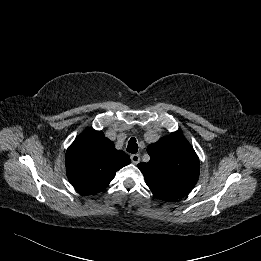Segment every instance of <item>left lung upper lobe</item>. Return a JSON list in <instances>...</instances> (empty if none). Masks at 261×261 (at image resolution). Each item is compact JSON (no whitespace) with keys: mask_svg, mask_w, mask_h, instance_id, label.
I'll list each match as a JSON object with an SVG mask.
<instances>
[{"mask_svg":"<svg viewBox=\"0 0 261 261\" xmlns=\"http://www.w3.org/2000/svg\"><path fill=\"white\" fill-rule=\"evenodd\" d=\"M150 161L138 168L152 193L159 199H180L195 186L200 164L184 135L173 132L147 147Z\"/></svg>","mask_w":261,"mask_h":261,"instance_id":"1","label":"left lung upper lobe"}]
</instances>
